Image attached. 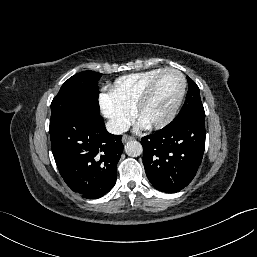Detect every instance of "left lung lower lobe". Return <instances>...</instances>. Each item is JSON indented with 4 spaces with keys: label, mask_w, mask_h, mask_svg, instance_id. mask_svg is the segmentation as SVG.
<instances>
[{
    "label": "left lung lower lobe",
    "mask_w": 257,
    "mask_h": 257,
    "mask_svg": "<svg viewBox=\"0 0 257 257\" xmlns=\"http://www.w3.org/2000/svg\"><path fill=\"white\" fill-rule=\"evenodd\" d=\"M143 163L151 184L175 193L195 177L205 147V117L174 119L154 134L142 138Z\"/></svg>",
    "instance_id": "0a47b994"
}]
</instances>
